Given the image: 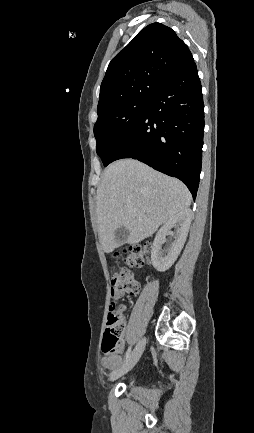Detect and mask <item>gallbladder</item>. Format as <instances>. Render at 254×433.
Wrapping results in <instances>:
<instances>
[{"label":"gallbladder","mask_w":254,"mask_h":433,"mask_svg":"<svg viewBox=\"0 0 254 433\" xmlns=\"http://www.w3.org/2000/svg\"><path fill=\"white\" fill-rule=\"evenodd\" d=\"M128 236L129 231L123 226L117 228L115 231V240L120 244L124 243L127 240Z\"/></svg>","instance_id":"bac80fb5"}]
</instances>
